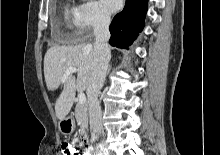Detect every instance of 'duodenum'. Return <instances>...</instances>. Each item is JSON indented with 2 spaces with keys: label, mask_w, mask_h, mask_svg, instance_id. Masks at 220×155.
<instances>
[{
  "label": "duodenum",
  "mask_w": 220,
  "mask_h": 155,
  "mask_svg": "<svg viewBox=\"0 0 220 155\" xmlns=\"http://www.w3.org/2000/svg\"><path fill=\"white\" fill-rule=\"evenodd\" d=\"M84 136H86V140H89V136L87 134H85ZM85 151L87 155H91V147H89L88 145L85 147Z\"/></svg>",
  "instance_id": "duodenum-1"
}]
</instances>
